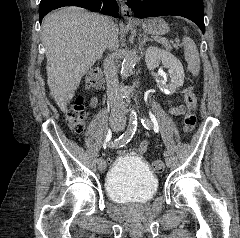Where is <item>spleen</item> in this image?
Listing matches in <instances>:
<instances>
[{"mask_svg": "<svg viewBox=\"0 0 240 238\" xmlns=\"http://www.w3.org/2000/svg\"><path fill=\"white\" fill-rule=\"evenodd\" d=\"M184 55L188 63V69L193 75H197L200 71V57L195 42L190 37H184Z\"/></svg>", "mask_w": 240, "mask_h": 238, "instance_id": "obj_1", "label": "spleen"}]
</instances>
